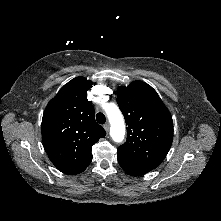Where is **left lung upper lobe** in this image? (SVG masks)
Wrapping results in <instances>:
<instances>
[{"label": "left lung upper lobe", "instance_id": "obj_1", "mask_svg": "<svg viewBox=\"0 0 221 221\" xmlns=\"http://www.w3.org/2000/svg\"><path fill=\"white\" fill-rule=\"evenodd\" d=\"M117 103L127 127V141L118 151L155 169L166 157L173 139V120L157 92L134 81L118 89Z\"/></svg>", "mask_w": 221, "mask_h": 221}]
</instances>
